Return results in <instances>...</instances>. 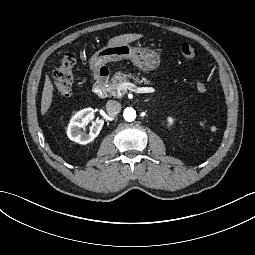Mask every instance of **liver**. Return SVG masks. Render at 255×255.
Returning <instances> with one entry per match:
<instances>
[{"mask_svg": "<svg viewBox=\"0 0 255 255\" xmlns=\"http://www.w3.org/2000/svg\"><path fill=\"white\" fill-rule=\"evenodd\" d=\"M143 37L142 34H123L116 36L108 41L109 46L119 45L124 43H130L135 40ZM52 93H53V85L49 79V76H46L44 88L42 92V100H41V114L44 115L49 109L52 102Z\"/></svg>", "mask_w": 255, "mask_h": 255, "instance_id": "liver-1", "label": "liver"}]
</instances>
